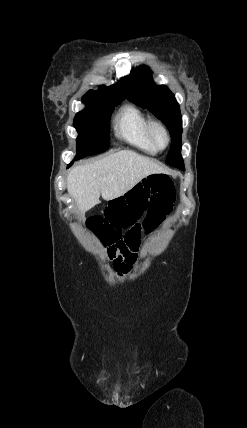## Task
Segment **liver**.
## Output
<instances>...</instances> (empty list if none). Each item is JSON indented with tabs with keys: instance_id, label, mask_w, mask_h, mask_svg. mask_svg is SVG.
Returning <instances> with one entry per match:
<instances>
[{
	"instance_id": "6515ba94",
	"label": "liver",
	"mask_w": 247,
	"mask_h": 428,
	"mask_svg": "<svg viewBox=\"0 0 247 428\" xmlns=\"http://www.w3.org/2000/svg\"><path fill=\"white\" fill-rule=\"evenodd\" d=\"M168 171L153 160L131 150H121L102 159L72 168L67 190L77 203L80 214L100 203L121 197L152 174Z\"/></svg>"
}]
</instances>
